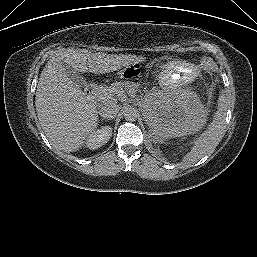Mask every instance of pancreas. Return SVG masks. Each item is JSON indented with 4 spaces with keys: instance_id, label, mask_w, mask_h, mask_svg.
I'll use <instances>...</instances> for the list:
<instances>
[{
    "instance_id": "obj_1",
    "label": "pancreas",
    "mask_w": 257,
    "mask_h": 257,
    "mask_svg": "<svg viewBox=\"0 0 257 257\" xmlns=\"http://www.w3.org/2000/svg\"><path fill=\"white\" fill-rule=\"evenodd\" d=\"M117 89H125V90H133L136 91V84L132 82H115L112 83L110 86H103L99 90V95L102 100H106V97L109 96L111 93H113Z\"/></svg>"
}]
</instances>
